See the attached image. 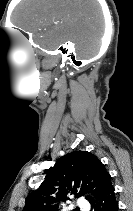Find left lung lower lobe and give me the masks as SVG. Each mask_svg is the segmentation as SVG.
Wrapping results in <instances>:
<instances>
[{
  "mask_svg": "<svg viewBox=\"0 0 133 211\" xmlns=\"http://www.w3.org/2000/svg\"><path fill=\"white\" fill-rule=\"evenodd\" d=\"M98 203H92L95 211H118V202L115 196V190L113 186L97 199Z\"/></svg>",
  "mask_w": 133,
  "mask_h": 211,
  "instance_id": "1",
  "label": "left lung lower lobe"
}]
</instances>
